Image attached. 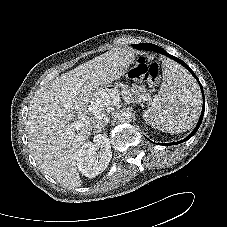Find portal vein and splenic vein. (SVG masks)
Instances as JSON below:
<instances>
[{"label": "portal vein and splenic vein", "mask_w": 227, "mask_h": 227, "mask_svg": "<svg viewBox=\"0 0 227 227\" xmlns=\"http://www.w3.org/2000/svg\"><path fill=\"white\" fill-rule=\"evenodd\" d=\"M149 95L147 97H144V100H148ZM66 107H70V103L66 104ZM87 115L85 111H79L78 112V121H75L71 124V128L79 129L84 126V123L86 121Z\"/></svg>", "instance_id": "1"}]
</instances>
